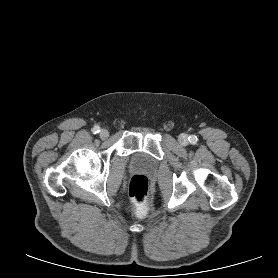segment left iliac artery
Wrapping results in <instances>:
<instances>
[{
	"instance_id": "44dca946",
	"label": "left iliac artery",
	"mask_w": 278,
	"mask_h": 278,
	"mask_svg": "<svg viewBox=\"0 0 278 278\" xmlns=\"http://www.w3.org/2000/svg\"><path fill=\"white\" fill-rule=\"evenodd\" d=\"M196 141H197V137L196 136L192 135V136L189 137V142L190 143L195 144Z\"/></svg>"
}]
</instances>
